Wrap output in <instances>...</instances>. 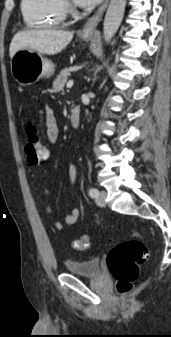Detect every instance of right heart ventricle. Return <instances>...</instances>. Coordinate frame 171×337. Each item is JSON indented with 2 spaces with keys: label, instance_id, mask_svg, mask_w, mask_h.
<instances>
[{
  "label": "right heart ventricle",
  "instance_id": "obj_1",
  "mask_svg": "<svg viewBox=\"0 0 171 337\" xmlns=\"http://www.w3.org/2000/svg\"><path fill=\"white\" fill-rule=\"evenodd\" d=\"M21 12L26 25L32 28L57 27L66 16L62 0H21Z\"/></svg>",
  "mask_w": 171,
  "mask_h": 337
}]
</instances>
